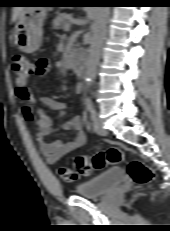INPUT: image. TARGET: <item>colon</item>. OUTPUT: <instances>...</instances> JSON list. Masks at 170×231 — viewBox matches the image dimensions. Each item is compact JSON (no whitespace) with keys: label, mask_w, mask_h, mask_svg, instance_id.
Here are the masks:
<instances>
[{"label":"colon","mask_w":170,"mask_h":231,"mask_svg":"<svg viewBox=\"0 0 170 231\" xmlns=\"http://www.w3.org/2000/svg\"><path fill=\"white\" fill-rule=\"evenodd\" d=\"M11 68L17 87H22L35 75V65L24 55H15L12 58ZM124 153L118 147H110L93 156H77L74 160V170L69 167H60L59 176L66 182H73L78 175L88 176L95 170H101L107 165H115L122 162ZM128 174L138 185L150 182L153 171L143 162L132 160L128 164Z\"/></svg>","instance_id":"5ec220e1"}]
</instances>
